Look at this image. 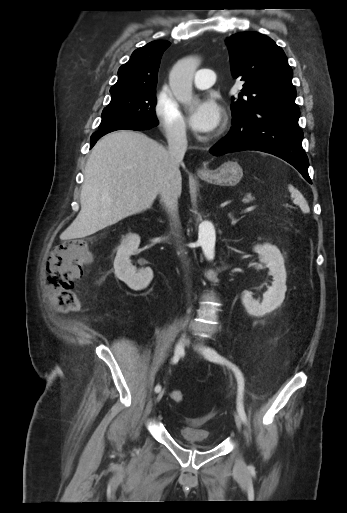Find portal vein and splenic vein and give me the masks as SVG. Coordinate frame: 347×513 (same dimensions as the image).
<instances>
[{
    "label": "portal vein and splenic vein",
    "instance_id": "18ae733b",
    "mask_svg": "<svg viewBox=\"0 0 347 513\" xmlns=\"http://www.w3.org/2000/svg\"><path fill=\"white\" fill-rule=\"evenodd\" d=\"M255 208H256L255 206H250V207H248V208H246V209L244 210V213L252 212V211H254V210H255Z\"/></svg>",
    "mask_w": 347,
    "mask_h": 513
}]
</instances>
